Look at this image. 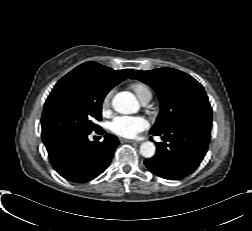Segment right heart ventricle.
<instances>
[{
    "instance_id": "right-heart-ventricle-1",
    "label": "right heart ventricle",
    "mask_w": 252,
    "mask_h": 231,
    "mask_svg": "<svg viewBox=\"0 0 252 231\" xmlns=\"http://www.w3.org/2000/svg\"><path fill=\"white\" fill-rule=\"evenodd\" d=\"M131 89L141 102L144 101L145 99L150 100L152 97V92L150 88L143 83L132 84Z\"/></svg>"
}]
</instances>
